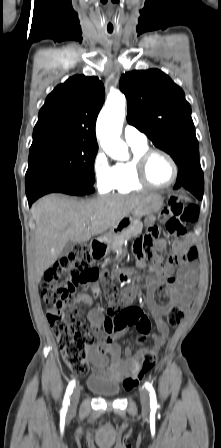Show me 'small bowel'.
Listing matches in <instances>:
<instances>
[{
    "mask_svg": "<svg viewBox=\"0 0 221 448\" xmlns=\"http://www.w3.org/2000/svg\"><path fill=\"white\" fill-rule=\"evenodd\" d=\"M153 221V219H150L148 225L151 227L149 238L152 239L151 245L153 252L151 256L155 260V264L150 269L147 281L148 295L146 306L156 321L159 334L153 335V345L151 348L146 349V352H155L164 344L169 335V328L163 320V315L174 307H179L183 311L188 310L196 282L194 266L187 262H179L177 258L178 255L189 247L191 243L190 239L183 236L175 241L173 244L174 253L165 262H162L159 253L165 249L166 241L164 238L154 235L155 229L153 228ZM144 244L145 239H139L136 243V248H142ZM177 267L178 281L168 283L167 278L172 275ZM158 290H162L169 299V302L164 306L157 305L154 300V294ZM99 294L100 287L97 283H94L92 295L86 293L77 294L74 298V304H85L92 307L94 298L98 297ZM134 298L135 289L128 287L122 291L120 298H118V303L110 302L108 309L109 317H106L97 308H91L87 315L92 330L100 336V341L97 344L90 345L88 348V356L93 370L97 373H107L111 376L112 380L118 383L123 382L125 377L137 367L143 358L142 352L133 355L132 350L126 348L124 351V359H121L120 347L116 343V339L121 337L127 327L130 326L129 324L120 325V322L125 320L123 310L132 306ZM52 311L53 309L49 308L47 313L49 314ZM107 322H111L116 326L114 335L110 334L112 331H107L106 329L105 331L107 333H102V327Z\"/></svg>",
    "mask_w": 221,
    "mask_h": 448,
    "instance_id": "small-bowel-1",
    "label": "small bowel"
}]
</instances>
